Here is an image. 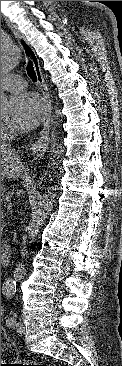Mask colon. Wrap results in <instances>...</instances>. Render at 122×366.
I'll use <instances>...</instances> for the list:
<instances>
[{
  "label": "colon",
  "instance_id": "5ec220e1",
  "mask_svg": "<svg viewBox=\"0 0 122 366\" xmlns=\"http://www.w3.org/2000/svg\"><path fill=\"white\" fill-rule=\"evenodd\" d=\"M17 353L13 344L8 340L3 330L1 329V359L15 360ZM10 366H52L48 363H39L35 361H21L16 364H8ZM55 366V365H53Z\"/></svg>",
  "mask_w": 122,
  "mask_h": 366
}]
</instances>
